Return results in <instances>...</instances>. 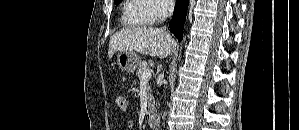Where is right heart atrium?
Masks as SVG:
<instances>
[{
	"mask_svg": "<svg viewBox=\"0 0 299 130\" xmlns=\"http://www.w3.org/2000/svg\"><path fill=\"white\" fill-rule=\"evenodd\" d=\"M153 4V19L162 20L173 9V3L169 0H149Z\"/></svg>",
	"mask_w": 299,
	"mask_h": 130,
	"instance_id": "d8ad5b80",
	"label": "right heart atrium"
}]
</instances>
